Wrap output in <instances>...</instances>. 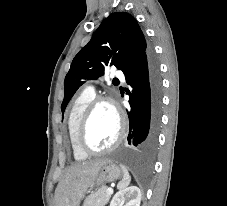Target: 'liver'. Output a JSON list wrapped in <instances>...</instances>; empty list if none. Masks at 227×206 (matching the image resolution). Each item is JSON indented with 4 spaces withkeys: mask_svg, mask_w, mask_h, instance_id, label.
<instances>
[{
    "mask_svg": "<svg viewBox=\"0 0 227 206\" xmlns=\"http://www.w3.org/2000/svg\"><path fill=\"white\" fill-rule=\"evenodd\" d=\"M108 161L99 159L70 166L55 190V206H79L84 192L95 181L102 165Z\"/></svg>",
    "mask_w": 227,
    "mask_h": 206,
    "instance_id": "obj_1",
    "label": "liver"
}]
</instances>
